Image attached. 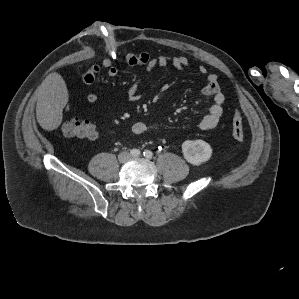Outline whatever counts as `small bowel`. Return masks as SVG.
Returning a JSON list of instances; mask_svg holds the SVG:
<instances>
[{
    "mask_svg": "<svg viewBox=\"0 0 299 299\" xmlns=\"http://www.w3.org/2000/svg\"><path fill=\"white\" fill-rule=\"evenodd\" d=\"M124 61L129 66H142V73L139 77L131 84L128 90V98L131 101H137L141 95L139 93L140 85L146 75H148L156 67L173 66L178 69H185L189 67V60L185 56H166L159 55L153 56L147 51H139L136 53H127L123 56ZM105 70L107 75L111 78L118 74V69L111 58H104L100 63L91 66L82 76V80L86 85H91L95 82L98 74ZM197 71L206 76L207 83L202 89L205 96L212 99V105L208 112L201 118L199 127L201 130H211L219 123L223 112L225 96L222 93L218 78L213 73H208L206 67L198 66ZM99 99L98 94L89 93L87 95V101L91 104L97 102ZM151 124L143 121H139L133 124L132 132L135 135H142L151 129Z\"/></svg>",
    "mask_w": 299,
    "mask_h": 299,
    "instance_id": "small-bowel-1",
    "label": "small bowel"
}]
</instances>
